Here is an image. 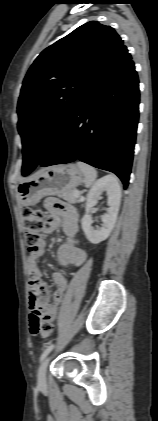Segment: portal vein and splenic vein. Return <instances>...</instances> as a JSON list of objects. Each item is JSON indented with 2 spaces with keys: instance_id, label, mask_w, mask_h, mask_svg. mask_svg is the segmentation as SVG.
Here are the masks:
<instances>
[{
  "instance_id": "18ae733b",
  "label": "portal vein and splenic vein",
  "mask_w": 158,
  "mask_h": 421,
  "mask_svg": "<svg viewBox=\"0 0 158 421\" xmlns=\"http://www.w3.org/2000/svg\"><path fill=\"white\" fill-rule=\"evenodd\" d=\"M74 195L76 196V197H80L81 196V193L79 192V191H74Z\"/></svg>"
}]
</instances>
